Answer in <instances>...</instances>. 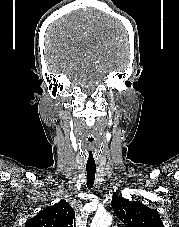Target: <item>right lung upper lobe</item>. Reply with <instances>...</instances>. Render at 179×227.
Masks as SVG:
<instances>
[{"instance_id": "obj_1", "label": "right lung upper lobe", "mask_w": 179, "mask_h": 227, "mask_svg": "<svg viewBox=\"0 0 179 227\" xmlns=\"http://www.w3.org/2000/svg\"><path fill=\"white\" fill-rule=\"evenodd\" d=\"M25 227H75V213L68 202L61 200L41 210Z\"/></svg>"}]
</instances>
